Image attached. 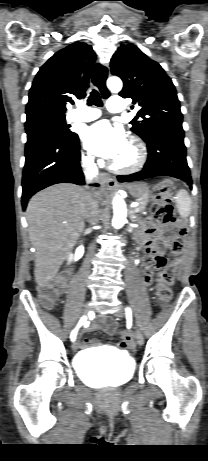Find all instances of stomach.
Masks as SVG:
<instances>
[{"instance_id": "stomach-1", "label": "stomach", "mask_w": 208, "mask_h": 461, "mask_svg": "<svg viewBox=\"0 0 208 461\" xmlns=\"http://www.w3.org/2000/svg\"><path fill=\"white\" fill-rule=\"evenodd\" d=\"M128 190L130 194L137 199L146 197L149 194V187L144 182H136L129 184Z\"/></svg>"}]
</instances>
